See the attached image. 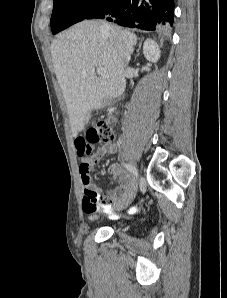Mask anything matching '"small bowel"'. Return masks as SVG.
Segmentation results:
<instances>
[{
  "label": "small bowel",
  "instance_id": "1",
  "mask_svg": "<svg viewBox=\"0 0 227 298\" xmlns=\"http://www.w3.org/2000/svg\"><path fill=\"white\" fill-rule=\"evenodd\" d=\"M77 138L73 140V143L76 144L77 158L83 159L79 167L83 189V211L90 220L94 219L98 212H107L110 217L116 218L117 214L111 211V206L107 202L114 201L118 204L124 201L135 190L133 181L117 164H112L109 166L108 172L118 178L121 184L110 193L101 195L100 189L90 182L89 170L105 155L116 153L118 147L114 142L106 143L94 152L92 143L85 142V134H78ZM88 155L91 156L88 158ZM134 211L133 207L129 209L130 213Z\"/></svg>",
  "mask_w": 227,
  "mask_h": 298
}]
</instances>
